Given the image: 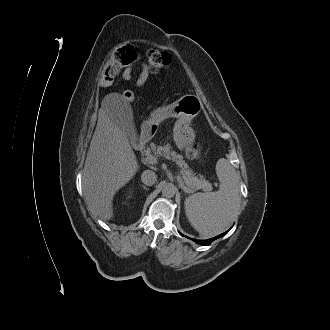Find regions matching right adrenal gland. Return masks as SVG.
I'll return each instance as SVG.
<instances>
[{
    "instance_id": "right-adrenal-gland-1",
    "label": "right adrenal gland",
    "mask_w": 330,
    "mask_h": 330,
    "mask_svg": "<svg viewBox=\"0 0 330 330\" xmlns=\"http://www.w3.org/2000/svg\"><path fill=\"white\" fill-rule=\"evenodd\" d=\"M143 189L148 190V188L144 185H141Z\"/></svg>"
}]
</instances>
